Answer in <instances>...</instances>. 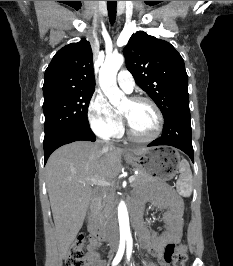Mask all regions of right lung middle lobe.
<instances>
[{
	"instance_id": "right-lung-middle-lobe-1",
	"label": "right lung middle lobe",
	"mask_w": 233,
	"mask_h": 266,
	"mask_svg": "<svg viewBox=\"0 0 233 266\" xmlns=\"http://www.w3.org/2000/svg\"><path fill=\"white\" fill-rule=\"evenodd\" d=\"M93 93L94 90H78L44 96V139L65 129L89 127L87 110Z\"/></svg>"
}]
</instances>
